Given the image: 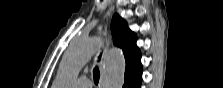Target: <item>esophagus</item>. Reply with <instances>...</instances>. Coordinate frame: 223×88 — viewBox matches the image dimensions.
Segmentation results:
<instances>
[{"mask_svg": "<svg viewBox=\"0 0 223 88\" xmlns=\"http://www.w3.org/2000/svg\"><path fill=\"white\" fill-rule=\"evenodd\" d=\"M109 45H110V39L108 40V44H107V48L109 47ZM99 88H101V81H100V83H99V86H98Z\"/></svg>", "mask_w": 223, "mask_h": 88, "instance_id": "esophagus-1", "label": "esophagus"}]
</instances>
